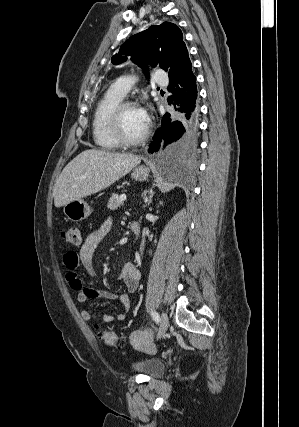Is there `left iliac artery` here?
I'll return each mask as SVG.
<instances>
[{"instance_id": "obj_1", "label": "left iliac artery", "mask_w": 299, "mask_h": 427, "mask_svg": "<svg viewBox=\"0 0 299 427\" xmlns=\"http://www.w3.org/2000/svg\"><path fill=\"white\" fill-rule=\"evenodd\" d=\"M151 315H152V317H153L154 321H155L156 323H159V321H160L159 314H158L156 311H152Z\"/></svg>"}]
</instances>
